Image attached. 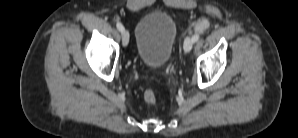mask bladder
<instances>
[{
  "instance_id": "1",
  "label": "bladder",
  "mask_w": 298,
  "mask_h": 138,
  "mask_svg": "<svg viewBox=\"0 0 298 138\" xmlns=\"http://www.w3.org/2000/svg\"><path fill=\"white\" fill-rule=\"evenodd\" d=\"M175 37V26L170 18L156 15L145 18L136 31V50L141 62L149 68L160 67L167 59ZM157 45L152 49V41Z\"/></svg>"
}]
</instances>
